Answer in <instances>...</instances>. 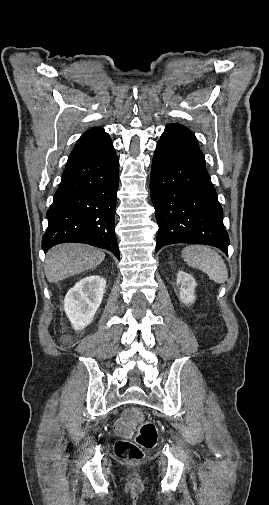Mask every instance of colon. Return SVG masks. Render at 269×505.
<instances>
[{"mask_svg":"<svg viewBox=\"0 0 269 505\" xmlns=\"http://www.w3.org/2000/svg\"><path fill=\"white\" fill-rule=\"evenodd\" d=\"M134 424H138L134 441L119 440L115 443L114 452L123 461H138L143 458L144 450L154 447L158 438L157 427L154 423L145 421L138 409H133L130 416Z\"/></svg>","mask_w":269,"mask_h":505,"instance_id":"obj_1","label":"colon"}]
</instances>
